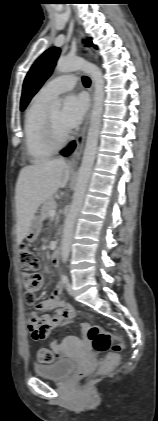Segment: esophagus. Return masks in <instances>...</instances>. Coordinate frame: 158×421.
<instances>
[{"label":"esophagus","mask_w":158,"mask_h":421,"mask_svg":"<svg viewBox=\"0 0 158 421\" xmlns=\"http://www.w3.org/2000/svg\"><path fill=\"white\" fill-rule=\"evenodd\" d=\"M79 37H80V41L84 37L83 33L81 31H79ZM83 48L86 51H88V53H89V50L87 48H85V47H83ZM89 55H90V53H89ZM93 95H94V82L91 78V86H90L91 105H90V109H89V111H88V113L85 117L83 126H82L79 134L77 135L76 140H75L76 148H75V151H74V153L71 157V160H70V164L72 166H76L78 164L80 156L83 152L85 137H86L87 129H88V126H89L90 116H91L92 107H93Z\"/></svg>","instance_id":"obj_1"}]
</instances>
